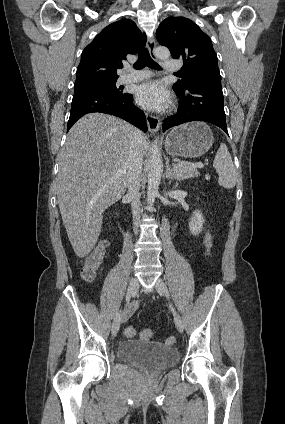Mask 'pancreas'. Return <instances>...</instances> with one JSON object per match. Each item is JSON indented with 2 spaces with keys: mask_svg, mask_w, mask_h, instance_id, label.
Here are the masks:
<instances>
[{
  "mask_svg": "<svg viewBox=\"0 0 285 424\" xmlns=\"http://www.w3.org/2000/svg\"><path fill=\"white\" fill-rule=\"evenodd\" d=\"M199 175L197 168L190 163H178L173 167V178L177 180L198 177Z\"/></svg>",
  "mask_w": 285,
  "mask_h": 424,
  "instance_id": "pancreas-1",
  "label": "pancreas"
}]
</instances>
